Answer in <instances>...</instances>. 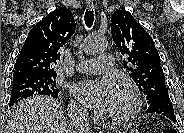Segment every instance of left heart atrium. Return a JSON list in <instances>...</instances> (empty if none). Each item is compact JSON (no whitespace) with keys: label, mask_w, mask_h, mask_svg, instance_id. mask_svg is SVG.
<instances>
[{"label":"left heart atrium","mask_w":184,"mask_h":133,"mask_svg":"<svg viewBox=\"0 0 184 133\" xmlns=\"http://www.w3.org/2000/svg\"><path fill=\"white\" fill-rule=\"evenodd\" d=\"M73 94L94 112H108L113 106L118 90L110 79L84 80L74 85Z\"/></svg>","instance_id":"1"}]
</instances>
